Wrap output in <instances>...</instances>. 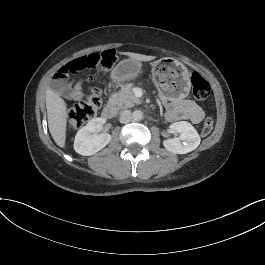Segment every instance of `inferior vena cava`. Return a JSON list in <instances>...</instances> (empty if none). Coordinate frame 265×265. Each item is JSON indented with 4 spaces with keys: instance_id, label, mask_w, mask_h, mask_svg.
<instances>
[{
    "instance_id": "inferior-vena-cava-1",
    "label": "inferior vena cava",
    "mask_w": 265,
    "mask_h": 265,
    "mask_svg": "<svg viewBox=\"0 0 265 265\" xmlns=\"http://www.w3.org/2000/svg\"><path fill=\"white\" fill-rule=\"evenodd\" d=\"M131 120V112L129 110H124L120 112L119 121L122 124L128 123Z\"/></svg>"
}]
</instances>
